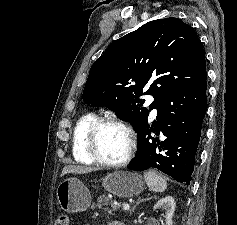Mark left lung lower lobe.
Returning a JSON list of instances; mask_svg holds the SVG:
<instances>
[{"label":"left lung lower lobe","instance_id":"left-lung-lower-lobe-1","mask_svg":"<svg viewBox=\"0 0 237 225\" xmlns=\"http://www.w3.org/2000/svg\"><path fill=\"white\" fill-rule=\"evenodd\" d=\"M206 79L161 97L152 107L156 120L147 119L137 131L138 151L127 168H157L178 182L190 184L207 109Z\"/></svg>","mask_w":237,"mask_h":225}]
</instances>
